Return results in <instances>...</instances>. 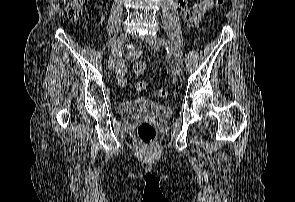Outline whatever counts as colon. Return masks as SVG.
Masks as SVG:
<instances>
[{
    "instance_id": "1",
    "label": "colon",
    "mask_w": 295,
    "mask_h": 202,
    "mask_svg": "<svg viewBox=\"0 0 295 202\" xmlns=\"http://www.w3.org/2000/svg\"><path fill=\"white\" fill-rule=\"evenodd\" d=\"M226 0H215V6L217 9L221 8ZM86 0H66V13L71 20H78L81 17L82 9L85 5ZM147 69L145 62L138 61L133 65V70L136 74H143ZM148 84L145 81H139L136 84V90L143 92L147 89ZM159 96L166 98L169 95V91L166 88H161L158 92ZM137 135L139 139L145 143H152L157 136L156 128L149 122H142L137 128Z\"/></svg>"
}]
</instances>
